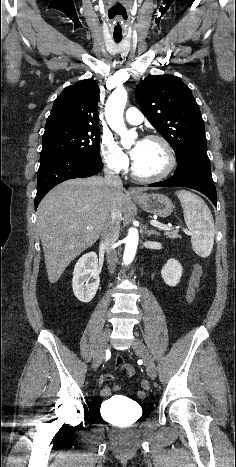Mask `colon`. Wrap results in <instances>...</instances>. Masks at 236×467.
<instances>
[{
	"label": "colon",
	"instance_id": "1",
	"mask_svg": "<svg viewBox=\"0 0 236 467\" xmlns=\"http://www.w3.org/2000/svg\"><path fill=\"white\" fill-rule=\"evenodd\" d=\"M202 273H203L202 266L197 263L193 268L192 276H191V280H190V286H189V291H188V295H187V299H188L189 302H192V300H193V298L195 296L194 291H195V289L197 288V286L200 283ZM143 385L147 386V383L144 382ZM144 396H145L144 392H142V391L137 392V397L139 399H143Z\"/></svg>",
	"mask_w": 236,
	"mask_h": 467
}]
</instances>
